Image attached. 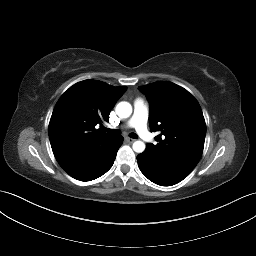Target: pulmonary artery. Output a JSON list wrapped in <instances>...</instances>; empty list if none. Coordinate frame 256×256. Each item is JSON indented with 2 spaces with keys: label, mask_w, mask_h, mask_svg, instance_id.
Segmentation results:
<instances>
[{
  "label": "pulmonary artery",
  "mask_w": 256,
  "mask_h": 256,
  "mask_svg": "<svg viewBox=\"0 0 256 256\" xmlns=\"http://www.w3.org/2000/svg\"><path fill=\"white\" fill-rule=\"evenodd\" d=\"M148 114V105L141 99L136 100L133 115L127 121L125 127L134 128L142 139L152 142L154 138L147 129Z\"/></svg>",
  "instance_id": "obj_1"
}]
</instances>
